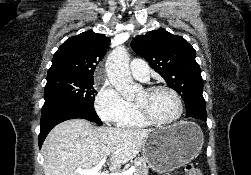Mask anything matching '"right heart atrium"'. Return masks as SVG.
<instances>
[{"mask_svg": "<svg viewBox=\"0 0 251 175\" xmlns=\"http://www.w3.org/2000/svg\"><path fill=\"white\" fill-rule=\"evenodd\" d=\"M94 108L102 121L113 124H120L135 111L119 90L108 81L100 86L95 96Z\"/></svg>", "mask_w": 251, "mask_h": 175, "instance_id": "obj_1", "label": "right heart atrium"}]
</instances>
